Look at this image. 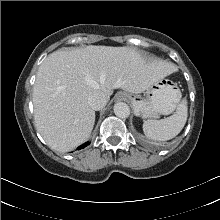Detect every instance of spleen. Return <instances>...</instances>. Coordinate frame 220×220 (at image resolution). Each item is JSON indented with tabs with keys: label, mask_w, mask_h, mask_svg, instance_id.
<instances>
[{
	"label": "spleen",
	"mask_w": 220,
	"mask_h": 220,
	"mask_svg": "<svg viewBox=\"0 0 220 220\" xmlns=\"http://www.w3.org/2000/svg\"><path fill=\"white\" fill-rule=\"evenodd\" d=\"M187 101L183 99L177 105L176 112L161 120H146L143 123L144 134L157 141H166L177 136L183 129L187 120Z\"/></svg>",
	"instance_id": "obj_1"
}]
</instances>
